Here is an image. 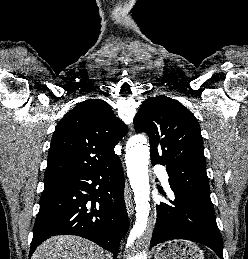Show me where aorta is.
<instances>
[{
	"instance_id": "762f6f07",
	"label": "aorta",
	"mask_w": 248,
	"mask_h": 259,
	"mask_svg": "<svg viewBox=\"0 0 248 259\" xmlns=\"http://www.w3.org/2000/svg\"><path fill=\"white\" fill-rule=\"evenodd\" d=\"M149 155V148L143 136H135L129 141L126 151V167L136 203L134 226L136 236H143L147 232H151V227L148 225L150 211ZM126 259H146V252L130 250Z\"/></svg>"
}]
</instances>
